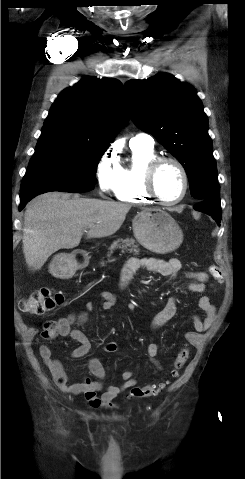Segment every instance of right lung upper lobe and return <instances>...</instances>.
I'll return each instance as SVG.
<instances>
[{"instance_id": "cb5924a9", "label": "right lung upper lobe", "mask_w": 245, "mask_h": 479, "mask_svg": "<svg viewBox=\"0 0 245 479\" xmlns=\"http://www.w3.org/2000/svg\"><path fill=\"white\" fill-rule=\"evenodd\" d=\"M129 112L122 85L116 79L83 78L61 92L42 132H61L108 148Z\"/></svg>"}]
</instances>
